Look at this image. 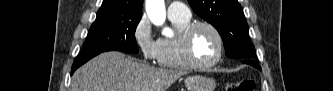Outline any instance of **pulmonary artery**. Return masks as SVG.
Returning a JSON list of instances; mask_svg holds the SVG:
<instances>
[{
	"label": "pulmonary artery",
	"mask_w": 333,
	"mask_h": 91,
	"mask_svg": "<svg viewBox=\"0 0 333 91\" xmlns=\"http://www.w3.org/2000/svg\"><path fill=\"white\" fill-rule=\"evenodd\" d=\"M168 14L169 16H181V17H189L191 16V12L189 8L181 3V2H173L168 6Z\"/></svg>",
	"instance_id": "obj_1"
}]
</instances>
